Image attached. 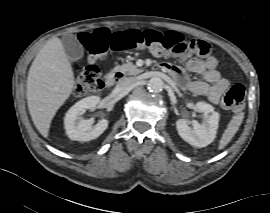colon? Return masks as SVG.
<instances>
[{
  "label": "colon",
  "mask_w": 270,
  "mask_h": 213,
  "mask_svg": "<svg viewBox=\"0 0 270 213\" xmlns=\"http://www.w3.org/2000/svg\"><path fill=\"white\" fill-rule=\"evenodd\" d=\"M80 42L87 52L89 65L77 69L74 87L75 96H84L104 87L101 71L96 64L103 61L109 51H123L130 48L146 49L151 54L166 58L171 54L205 55L209 46L202 40L186 39L174 31H155L132 29L125 32L110 33L105 28L80 35ZM245 89L234 84L224 94L221 105L225 109L242 108Z\"/></svg>",
  "instance_id": "1"
}]
</instances>
